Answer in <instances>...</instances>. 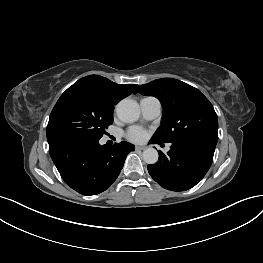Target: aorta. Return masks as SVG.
Listing matches in <instances>:
<instances>
[{
  "label": "aorta",
  "instance_id": "aorta-1",
  "mask_svg": "<svg viewBox=\"0 0 263 263\" xmlns=\"http://www.w3.org/2000/svg\"><path fill=\"white\" fill-rule=\"evenodd\" d=\"M118 118L125 123L135 122L140 115L138 103L132 99H123L116 106ZM159 154L154 148H147L143 151L142 158L147 164H155Z\"/></svg>",
  "mask_w": 263,
  "mask_h": 263
}]
</instances>
